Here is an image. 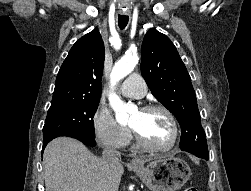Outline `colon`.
Returning a JSON list of instances; mask_svg holds the SVG:
<instances>
[{
	"label": "colon",
	"mask_w": 251,
	"mask_h": 191,
	"mask_svg": "<svg viewBox=\"0 0 251 191\" xmlns=\"http://www.w3.org/2000/svg\"><path fill=\"white\" fill-rule=\"evenodd\" d=\"M183 191H197V189L194 187L188 186V187L184 188Z\"/></svg>",
	"instance_id": "obj_1"
}]
</instances>
